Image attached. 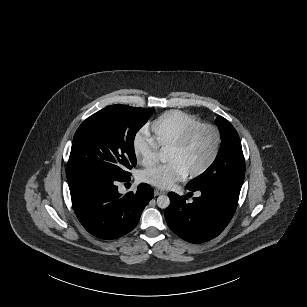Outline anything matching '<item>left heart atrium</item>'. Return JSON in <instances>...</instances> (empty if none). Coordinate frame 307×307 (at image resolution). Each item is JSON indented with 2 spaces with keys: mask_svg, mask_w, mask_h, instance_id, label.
<instances>
[{
  "mask_svg": "<svg viewBox=\"0 0 307 307\" xmlns=\"http://www.w3.org/2000/svg\"><path fill=\"white\" fill-rule=\"evenodd\" d=\"M188 173L178 164L167 162L147 168L141 172V179L158 188H169L174 182L182 181Z\"/></svg>",
  "mask_w": 307,
  "mask_h": 307,
  "instance_id": "obj_1",
  "label": "left heart atrium"
}]
</instances>
